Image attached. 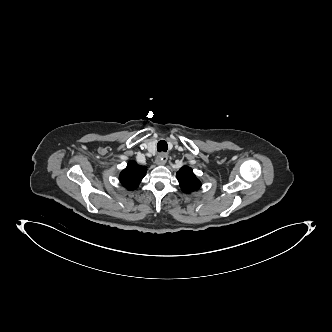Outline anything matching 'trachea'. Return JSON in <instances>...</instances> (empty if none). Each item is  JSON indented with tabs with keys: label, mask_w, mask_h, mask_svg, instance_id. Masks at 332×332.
Here are the masks:
<instances>
[{
	"label": "trachea",
	"mask_w": 332,
	"mask_h": 332,
	"mask_svg": "<svg viewBox=\"0 0 332 332\" xmlns=\"http://www.w3.org/2000/svg\"><path fill=\"white\" fill-rule=\"evenodd\" d=\"M168 149V145L167 142L165 140H160L157 143V151L158 152H167Z\"/></svg>",
	"instance_id": "1"
}]
</instances>
